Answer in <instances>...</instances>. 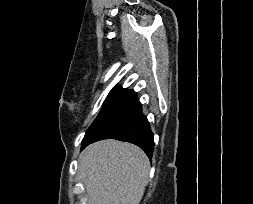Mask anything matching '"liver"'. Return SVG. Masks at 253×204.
<instances>
[{"instance_id": "liver-1", "label": "liver", "mask_w": 253, "mask_h": 204, "mask_svg": "<svg viewBox=\"0 0 253 204\" xmlns=\"http://www.w3.org/2000/svg\"><path fill=\"white\" fill-rule=\"evenodd\" d=\"M78 170L87 204H139L148 183L150 162L136 145L108 139L82 152Z\"/></svg>"}]
</instances>
